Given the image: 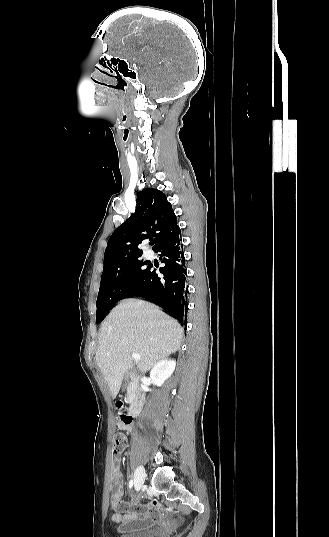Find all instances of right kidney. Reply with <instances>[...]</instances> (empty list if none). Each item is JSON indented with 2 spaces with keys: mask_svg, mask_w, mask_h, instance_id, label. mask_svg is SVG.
<instances>
[{
  "mask_svg": "<svg viewBox=\"0 0 329 537\" xmlns=\"http://www.w3.org/2000/svg\"><path fill=\"white\" fill-rule=\"evenodd\" d=\"M175 366L174 360L163 359L159 361L150 371L151 381L157 386L163 385L164 381L172 375Z\"/></svg>",
  "mask_w": 329,
  "mask_h": 537,
  "instance_id": "obj_1",
  "label": "right kidney"
}]
</instances>
